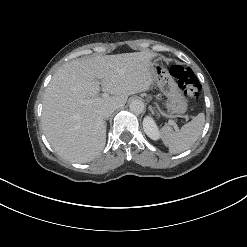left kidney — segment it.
I'll list each match as a JSON object with an SVG mask.
<instances>
[{
    "instance_id": "obj_1",
    "label": "left kidney",
    "mask_w": 247,
    "mask_h": 247,
    "mask_svg": "<svg viewBox=\"0 0 247 247\" xmlns=\"http://www.w3.org/2000/svg\"><path fill=\"white\" fill-rule=\"evenodd\" d=\"M143 129L147 136L153 140H158L160 138V133L158 127L150 116H147L143 120Z\"/></svg>"
}]
</instances>
